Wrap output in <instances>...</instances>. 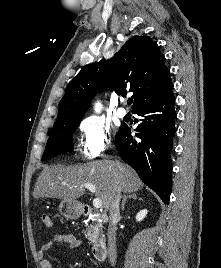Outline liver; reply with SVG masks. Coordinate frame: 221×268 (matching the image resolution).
<instances>
[{"label":"liver","instance_id":"6515ba94","mask_svg":"<svg viewBox=\"0 0 221 268\" xmlns=\"http://www.w3.org/2000/svg\"><path fill=\"white\" fill-rule=\"evenodd\" d=\"M91 183L96 187V196L108 210L112 191L119 187L125 193L136 192L144 184L136 172L119 160L103 159L75 167L46 166L39 175L33 197L57 198L76 201L85 194L81 184Z\"/></svg>","mask_w":221,"mask_h":268}]
</instances>
